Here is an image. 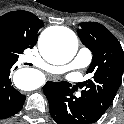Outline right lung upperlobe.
Here are the masks:
<instances>
[{
  "label": "right lung upper lobe",
  "instance_id": "obj_1",
  "mask_svg": "<svg viewBox=\"0 0 124 124\" xmlns=\"http://www.w3.org/2000/svg\"><path fill=\"white\" fill-rule=\"evenodd\" d=\"M43 21L28 11H12L0 16V34L9 37L18 47L20 54L32 48L38 39Z\"/></svg>",
  "mask_w": 124,
  "mask_h": 124
}]
</instances>
